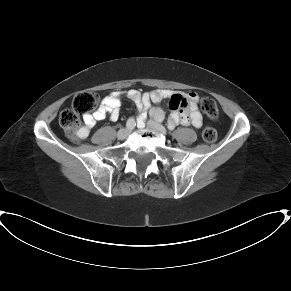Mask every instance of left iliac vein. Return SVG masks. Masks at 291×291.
I'll return each mask as SVG.
<instances>
[{
  "label": "left iliac vein",
  "instance_id": "left-iliac-vein-1",
  "mask_svg": "<svg viewBox=\"0 0 291 291\" xmlns=\"http://www.w3.org/2000/svg\"><path fill=\"white\" fill-rule=\"evenodd\" d=\"M147 127L150 129H153L155 131H158L162 134L166 133V129L158 122L154 121V120H148L147 122Z\"/></svg>",
  "mask_w": 291,
  "mask_h": 291
}]
</instances>
